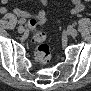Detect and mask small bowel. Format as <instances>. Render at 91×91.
<instances>
[{
	"label": "small bowel",
	"instance_id": "c3829d8e",
	"mask_svg": "<svg viewBox=\"0 0 91 91\" xmlns=\"http://www.w3.org/2000/svg\"><path fill=\"white\" fill-rule=\"evenodd\" d=\"M42 5H46L47 4V0H40L39 1ZM84 10V4L80 1V0H74L73 1V5H72V8H71V13L72 14H77V13H80ZM0 12L2 14H5L7 12V9L5 7H1L0 8ZM13 13L16 15V16H19V17H26L28 15V13L24 10H21V9H18V8H15L13 10ZM39 17H44L45 16V13L44 12H39L38 14Z\"/></svg>",
	"mask_w": 91,
	"mask_h": 91
}]
</instances>
